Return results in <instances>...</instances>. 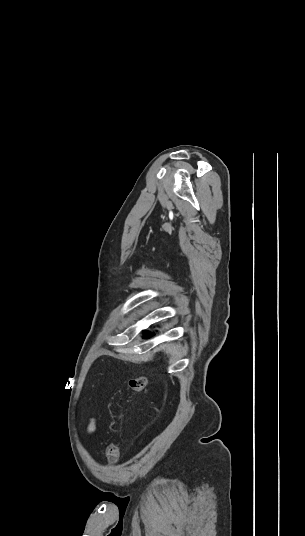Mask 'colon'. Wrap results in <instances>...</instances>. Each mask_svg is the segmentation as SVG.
I'll list each match as a JSON object with an SVG mask.
<instances>
[{"label": "colon", "mask_w": 305, "mask_h": 536, "mask_svg": "<svg viewBox=\"0 0 305 536\" xmlns=\"http://www.w3.org/2000/svg\"><path fill=\"white\" fill-rule=\"evenodd\" d=\"M147 381L143 376L133 377L129 381V387L134 393H141L146 389ZM119 450L116 441H112L108 446L107 456L110 464H114L118 458Z\"/></svg>", "instance_id": "colon-1"}]
</instances>
